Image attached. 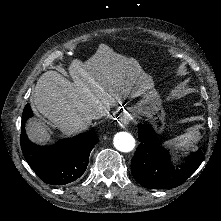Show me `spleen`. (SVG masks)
Segmentation results:
<instances>
[{
	"label": "spleen",
	"instance_id": "obj_1",
	"mask_svg": "<svg viewBox=\"0 0 221 221\" xmlns=\"http://www.w3.org/2000/svg\"><path fill=\"white\" fill-rule=\"evenodd\" d=\"M200 141V131L188 132L171 140L164 141L162 146L164 149L174 153L191 148L194 144Z\"/></svg>",
	"mask_w": 221,
	"mask_h": 221
}]
</instances>
